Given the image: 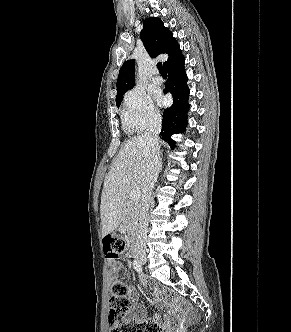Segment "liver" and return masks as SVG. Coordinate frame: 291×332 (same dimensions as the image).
Instances as JSON below:
<instances>
[{"instance_id": "1", "label": "liver", "mask_w": 291, "mask_h": 332, "mask_svg": "<svg viewBox=\"0 0 291 332\" xmlns=\"http://www.w3.org/2000/svg\"><path fill=\"white\" fill-rule=\"evenodd\" d=\"M146 153L141 136L130 138L121 147L102 190V237L113 232L123 220V208L130 191L142 190L147 172Z\"/></svg>"}]
</instances>
